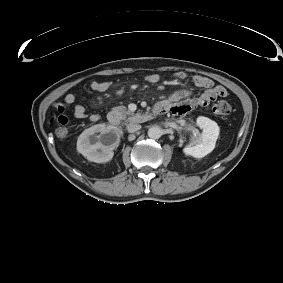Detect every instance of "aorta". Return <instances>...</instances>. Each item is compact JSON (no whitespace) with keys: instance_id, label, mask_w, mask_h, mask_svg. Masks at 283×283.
Listing matches in <instances>:
<instances>
[{"instance_id":"obj_1","label":"aorta","mask_w":283,"mask_h":283,"mask_svg":"<svg viewBox=\"0 0 283 283\" xmlns=\"http://www.w3.org/2000/svg\"><path fill=\"white\" fill-rule=\"evenodd\" d=\"M162 135V131L158 126H152L148 129V136L151 139H158Z\"/></svg>"}]
</instances>
